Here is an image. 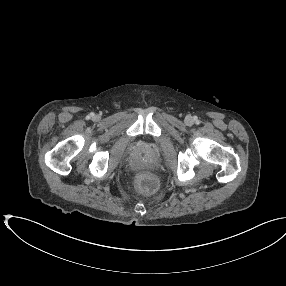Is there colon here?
<instances>
[{
    "mask_svg": "<svg viewBox=\"0 0 286 286\" xmlns=\"http://www.w3.org/2000/svg\"><path fill=\"white\" fill-rule=\"evenodd\" d=\"M137 187L144 193L153 192L156 187V181L148 174H140L136 179Z\"/></svg>",
    "mask_w": 286,
    "mask_h": 286,
    "instance_id": "1",
    "label": "colon"
}]
</instances>
